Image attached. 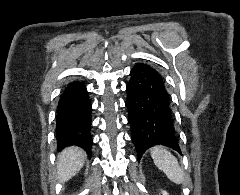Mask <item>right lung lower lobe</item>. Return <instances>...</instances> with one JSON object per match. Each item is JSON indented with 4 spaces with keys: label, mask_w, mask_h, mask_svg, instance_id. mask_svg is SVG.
<instances>
[{
    "label": "right lung lower lobe",
    "mask_w": 240,
    "mask_h": 195,
    "mask_svg": "<svg viewBox=\"0 0 240 195\" xmlns=\"http://www.w3.org/2000/svg\"><path fill=\"white\" fill-rule=\"evenodd\" d=\"M91 101L85 85L70 82L60 96L56 113L57 148L77 145L91 155Z\"/></svg>",
    "instance_id": "right-lung-lower-lobe-1"
}]
</instances>
